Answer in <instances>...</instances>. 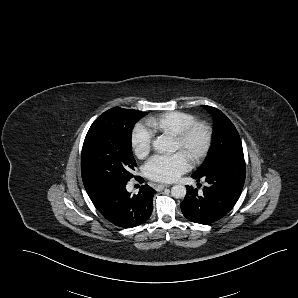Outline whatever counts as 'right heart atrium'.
<instances>
[{"mask_svg": "<svg viewBox=\"0 0 298 298\" xmlns=\"http://www.w3.org/2000/svg\"><path fill=\"white\" fill-rule=\"evenodd\" d=\"M132 145L139 157H145L153 146L151 132L142 125H136L132 133Z\"/></svg>", "mask_w": 298, "mask_h": 298, "instance_id": "right-heart-atrium-1", "label": "right heart atrium"}]
</instances>
